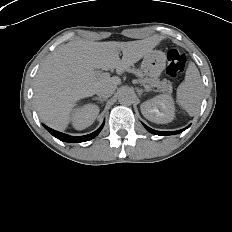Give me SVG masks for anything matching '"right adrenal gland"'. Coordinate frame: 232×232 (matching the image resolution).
<instances>
[{
    "mask_svg": "<svg viewBox=\"0 0 232 232\" xmlns=\"http://www.w3.org/2000/svg\"><path fill=\"white\" fill-rule=\"evenodd\" d=\"M94 100H98L100 103H103L106 99H101V98H98V97H95L93 98Z\"/></svg>",
    "mask_w": 232,
    "mask_h": 232,
    "instance_id": "2a0ac1e0",
    "label": "right adrenal gland"
}]
</instances>
